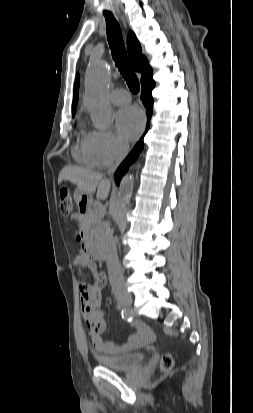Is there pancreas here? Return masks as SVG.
I'll use <instances>...</instances> for the list:
<instances>
[{
  "label": "pancreas",
  "instance_id": "obj_1",
  "mask_svg": "<svg viewBox=\"0 0 253 413\" xmlns=\"http://www.w3.org/2000/svg\"><path fill=\"white\" fill-rule=\"evenodd\" d=\"M102 218V209L99 207H92L80 217L79 227L89 237V239H92Z\"/></svg>",
  "mask_w": 253,
  "mask_h": 413
}]
</instances>
